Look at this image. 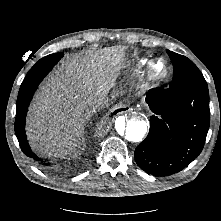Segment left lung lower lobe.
<instances>
[{"label": "left lung lower lobe", "mask_w": 221, "mask_h": 221, "mask_svg": "<svg viewBox=\"0 0 221 221\" xmlns=\"http://www.w3.org/2000/svg\"><path fill=\"white\" fill-rule=\"evenodd\" d=\"M153 112L147 137L135 149L138 166L148 174L168 176L187 167L202 151L210 125L206 81L149 90Z\"/></svg>", "instance_id": "obj_1"}]
</instances>
